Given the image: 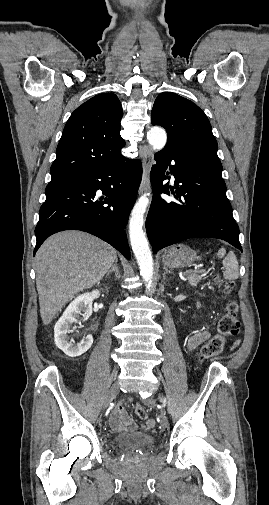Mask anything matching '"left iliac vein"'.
I'll list each match as a JSON object with an SVG mask.
<instances>
[{"instance_id": "left-iliac-vein-1", "label": "left iliac vein", "mask_w": 269, "mask_h": 505, "mask_svg": "<svg viewBox=\"0 0 269 505\" xmlns=\"http://www.w3.org/2000/svg\"><path fill=\"white\" fill-rule=\"evenodd\" d=\"M154 402H153V399L152 398H148L145 402H144V407L146 409H152L154 408ZM159 422H160V425L163 429L167 428L168 427V418L166 416V413L164 410H161L160 411V414H159Z\"/></svg>"}]
</instances>
